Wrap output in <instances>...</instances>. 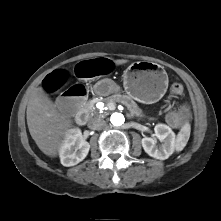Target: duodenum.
I'll list each match as a JSON object with an SVG mask.
<instances>
[{"instance_id": "duodenum-1", "label": "duodenum", "mask_w": 221, "mask_h": 221, "mask_svg": "<svg viewBox=\"0 0 221 221\" xmlns=\"http://www.w3.org/2000/svg\"><path fill=\"white\" fill-rule=\"evenodd\" d=\"M88 116L85 110L81 109L76 114V122L80 125H83L87 122Z\"/></svg>"}]
</instances>
